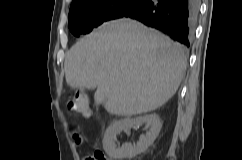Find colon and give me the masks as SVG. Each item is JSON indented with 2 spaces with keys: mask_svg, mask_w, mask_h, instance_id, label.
<instances>
[{
  "mask_svg": "<svg viewBox=\"0 0 242 160\" xmlns=\"http://www.w3.org/2000/svg\"><path fill=\"white\" fill-rule=\"evenodd\" d=\"M67 109L71 113L80 114L88 117L90 115V107L85 95L81 92L74 93L67 101ZM87 160H108L100 151H96L93 156Z\"/></svg>",
  "mask_w": 242,
  "mask_h": 160,
  "instance_id": "colon-1",
  "label": "colon"
}]
</instances>
